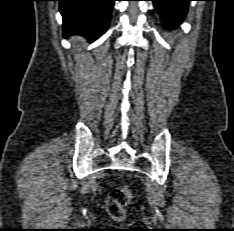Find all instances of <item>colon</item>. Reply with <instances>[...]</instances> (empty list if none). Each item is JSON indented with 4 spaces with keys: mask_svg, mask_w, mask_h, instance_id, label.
Returning <instances> with one entry per match:
<instances>
[{
    "mask_svg": "<svg viewBox=\"0 0 234 231\" xmlns=\"http://www.w3.org/2000/svg\"><path fill=\"white\" fill-rule=\"evenodd\" d=\"M132 193L129 188H114L108 196L106 207L109 215L116 219L122 220L125 217V208L128 205Z\"/></svg>",
    "mask_w": 234,
    "mask_h": 231,
    "instance_id": "5ec220e1",
    "label": "colon"
}]
</instances>
